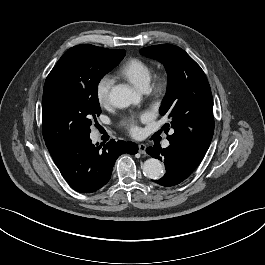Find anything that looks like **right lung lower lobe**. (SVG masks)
Instances as JSON below:
<instances>
[{
	"instance_id": "98d812e1",
	"label": "right lung lower lobe",
	"mask_w": 265,
	"mask_h": 265,
	"mask_svg": "<svg viewBox=\"0 0 265 265\" xmlns=\"http://www.w3.org/2000/svg\"><path fill=\"white\" fill-rule=\"evenodd\" d=\"M137 144L110 140L104 148L92 144L90 137L51 155L67 183L81 193H92L110 179L116 159L123 153L136 154Z\"/></svg>"
}]
</instances>
